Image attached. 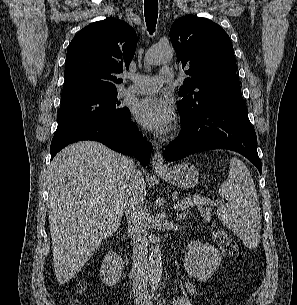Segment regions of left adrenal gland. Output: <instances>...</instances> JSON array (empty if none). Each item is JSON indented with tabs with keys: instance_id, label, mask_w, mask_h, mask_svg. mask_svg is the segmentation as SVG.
<instances>
[{
	"instance_id": "1",
	"label": "left adrenal gland",
	"mask_w": 297,
	"mask_h": 305,
	"mask_svg": "<svg viewBox=\"0 0 297 305\" xmlns=\"http://www.w3.org/2000/svg\"><path fill=\"white\" fill-rule=\"evenodd\" d=\"M185 216H186L185 213H184V214H183V213H182V214H181V213H180V214H177V215H176V220H177V221H181V219H184Z\"/></svg>"
}]
</instances>
